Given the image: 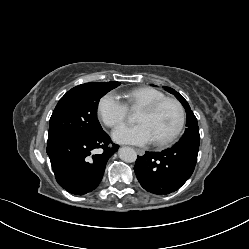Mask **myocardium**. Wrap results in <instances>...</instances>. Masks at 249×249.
<instances>
[{
  "mask_svg": "<svg viewBox=\"0 0 249 249\" xmlns=\"http://www.w3.org/2000/svg\"><path fill=\"white\" fill-rule=\"evenodd\" d=\"M166 102H172L177 106V108L179 110V122H178V125L175 128V130L168 137H166L162 140L155 141V145L160 147V148L167 147V146L171 145L172 143H174L177 140V138L181 134V132L185 126V122H186L185 108L182 105V103L174 97H163V98L155 100L149 104H146L140 108V110H142V111L152 113V112L156 111L162 104H164Z\"/></svg>",
  "mask_w": 249,
  "mask_h": 249,
  "instance_id": "1",
  "label": "myocardium"
}]
</instances>
